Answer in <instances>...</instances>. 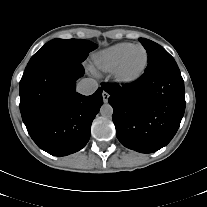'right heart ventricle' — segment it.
<instances>
[{"label": "right heart ventricle", "instance_id": "obj_1", "mask_svg": "<svg viewBox=\"0 0 207 207\" xmlns=\"http://www.w3.org/2000/svg\"><path fill=\"white\" fill-rule=\"evenodd\" d=\"M134 44L128 42L117 43L96 52L92 56V67L97 73L112 72L125 52Z\"/></svg>", "mask_w": 207, "mask_h": 207}]
</instances>
